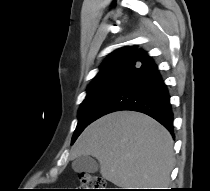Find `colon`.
Masks as SVG:
<instances>
[{
  "instance_id": "1",
  "label": "colon",
  "mask_w": 210,
  "mask_h": 191,
  "mask_svg": "<svg viewBox=\"0 0 210 191\" xmlns=\"http://www.w3.org/2000/svg\"><path fill=\"white\" fill-rule=\"evenodd\" d=\"M80 189L78 191H109L104 180L96 175L80 173L78 175Z\"/></svg>"
}]
</instances>
